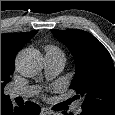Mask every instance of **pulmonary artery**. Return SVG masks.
<instances>
[{"mask_svg":"<svg viewBox=\"0 0 115 115\" xmlns=\"http://www.w3.org/2000/svg\"><path fill=\"white\" fill-rule=\"evenodd\" d=\"M65 65V57L62 53L59 52H47L45 56V70L48 77H54L62 71ZM36 93L34 87L25 86L17 87L10 91V97H30ZM76 113L81 112V106L76 105L74 108Z\"/></svg>","mask_w":115,"mask_h":115,"instance_id":"1","label":"pulmonary artery"}]
</instances>
